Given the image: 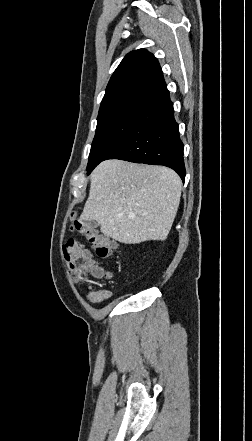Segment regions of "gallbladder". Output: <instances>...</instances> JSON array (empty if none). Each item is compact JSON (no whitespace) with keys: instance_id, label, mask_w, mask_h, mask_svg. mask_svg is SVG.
Wrapping results in <instances>:
<instances>
[{"instance_id":"obj_1","label":"gallbladder","mask_w":252,"mask_h":441,"mask_svg":"<svg viewBox=\"0 0 252 441\" xmlns=\"http://www.w3.org/2000/svg\"><path fill=\"white\" fill-rule=\"evenodd\" d=\"M85 225L89 229H96L99 227V223L96 220H88L85 222Z\"/></svg>"}]
</instances>
